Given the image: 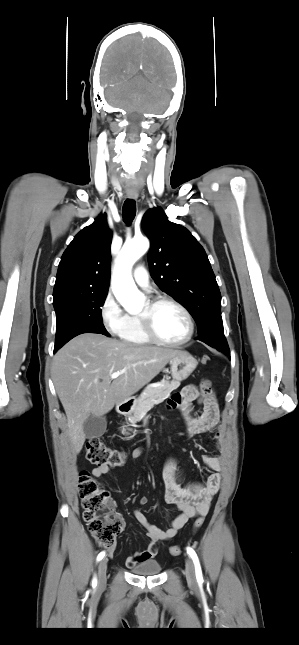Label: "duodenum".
<instances>
[{
    "label": "duodenum",
    "instance_id": "obj_1",
    "mask_svg": "<svg viewBox=\"0 0 299 645\" xmlns=\"http://www.w3.org/2000/svg\"><path fill=\"white\" fill-rule=\"evenodd\" d=\"M117 410L119 413H126L129 410L128 403H121L118 405Z\"/></svg>",
    "mask_w": 299,
    "mask_h": 645
}]
</instances>
